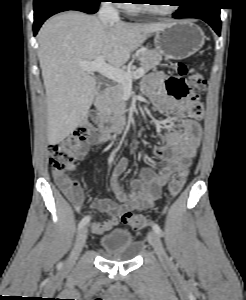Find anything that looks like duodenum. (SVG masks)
Returning a JSON list of instances; mask_svg holds the SVG:
<instances>
[{"label":"duodenum","instance_id":"410a0bca","mask_svg":"<svg viewBox=\"0 0 246 300\" xmlns=\"http://www.w3.org/2000/svg\"><path fill=\"white\" fill-rule=\"evenodd\" d=\"M107 86V83H101L99 96L105 92ZM131 126L132 120L126 112L115 116L105 115L100 120V131L102 133H121L131 128Z\"/></svg>","mask_w":246,"mask_h":300}]
</instances>
